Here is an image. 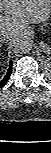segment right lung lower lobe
Listing matches in <instances>:
<instances>
[{
  "instance_id": "right-lung-lower-lobe-1",
  "label": "right lung lower lobe",
  "mask_w": 51,
  "mask_h": 153,
  "mask_svg": "<svg viewBox=\"0 0 51 153\" xmlns=\"http://www.w3.org/2000/svg\"><path fill=\"white\" fill-rule=\"evenodd\" d=\"M12 72V63L9 66L8 72L5 77L0 81V88L7 82Z\"/></svg>"
}]
</instances>
